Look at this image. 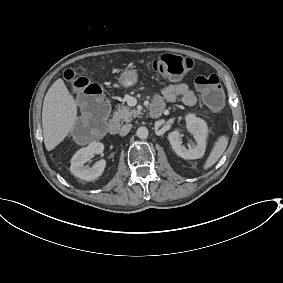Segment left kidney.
Listing matches in <instances>:
<instances>
[{"label":"left kidney","mask_w":283,"mask_h":283,"mask_svg":"<svg viewBox=\"0 0 283 283\" xmlns=\"http://www.w3.org/2000/svg\"><path fill=\"white\" fill-rule=\"evenodd\" d=\"M185 120L186 127L188 131L193 134L196 144H189V148L187 149L184 145H182V140L178 130L170 132L168 134V140L178 156L184 159L201 158L206 149V138L208 135L207 123L203 119L196 117L195 114L191 113L185 116Z\"/></svg>","instance_id":"obj_1"}]
</instances>
